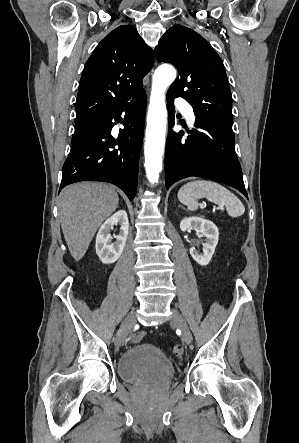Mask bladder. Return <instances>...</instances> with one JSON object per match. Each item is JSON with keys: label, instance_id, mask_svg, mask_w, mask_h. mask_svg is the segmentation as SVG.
I'll return each instance as SVG.
<instances>
[{"label": "bladder", "instance_id": "31cf9c89", "mask_svg": "<svg viewBox=\"0 0 299 443\" xmlns=\"http://www.w3.org/2000/svg\"><path fill=\"white\" fill-rule=\"evenodd\" d=\"M119 377L130 384H161L175 373L171 360L152 344H137L128 349L117 364Z\"/></svg>", "mask_w": 299, "mask_h": 443}]
</instances>
